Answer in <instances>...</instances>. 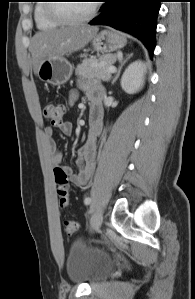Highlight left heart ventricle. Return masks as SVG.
<instances>
[{
	"label": "left heart ventricle",
	"mask_w": 195,
	"mask_h": 299,
	"mask_svg": "<svg viewBox=\"0 0 195 299\" xmlns=\"http://www.w3.org/2000/svg\"><path fill=\"white\" fill-rule=\"evenodd\" d=\"M92 3V1H73L62 3L59 11L69 17L79 18L89 13Z\"/></svg>",
	"instance_id": "left-heart-ventricle-1"
}]
</instances>
